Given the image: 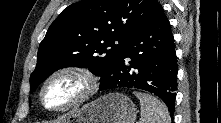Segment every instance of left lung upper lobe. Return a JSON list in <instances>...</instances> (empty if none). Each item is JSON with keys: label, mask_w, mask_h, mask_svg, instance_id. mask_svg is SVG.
Segmentation results:
<instances>
[{"label": "left lung upper lobe", "mask_w": 221, "mask_h": 123, "mask_svg": "<svg viewBox=\"0 0 221 123\" xmlns=\"http://www.w3.org/2000/svg\"><path fill=\"white\" fill-rule=\"evenodd\" d=\"M157 4L156 0H83L65 8L40 43L30 92L65 67L88 68L105 77Z\"/></svg>", "instance_id": "1"}]
</instances>
